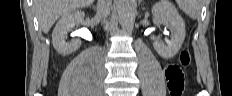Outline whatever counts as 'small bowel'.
<instances>
[{
	"instance_id": "small-bowel-1",
	"label": "small bowel",
	"mask_w": 232,
	"mask_h": 96,
	"mask_svg": "<svg viewBox=\"0 0 232 96\" xmlns=\"http://www.w3.org/2000/svg\"><path fill=\"white\" fill-rule=\"evenodd\" d=\"M164 66L167 68L169 65L166 63Z\"/></svg>"
}]
</instances>
